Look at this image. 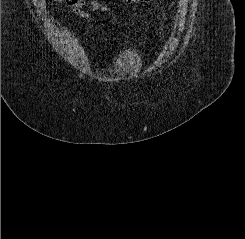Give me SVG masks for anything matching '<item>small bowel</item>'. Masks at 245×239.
<instances>
[{"label": "small bowel", "mask_w": 245, "mask_h": 239, "mask_svg": "<svg viewBox=\"0 0 245 239\" xmlns=\"http://www.w3.org/2000/svg\"><path fill=\"white\" fill-rule=\"evenodd\" d=\"M71 11L80 17H86L87 14L83 11V9H89L92 11L100 10L106 13H109V9L100 0H75V2L69 4ZM130 12L133 16H137V12L134 9H130Z\"/></svg>", "instance_id": "small-bowel-1"}]
</instances>
